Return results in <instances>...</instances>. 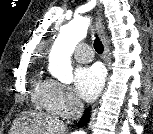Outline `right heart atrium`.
Wrapping results in <instances>:
<instances>
[{
  "mask_svg": "<svg viewBox=\"0 0 153 134\" xmlns=\"http://www.w3.org/2000/svg\"><path fill=\"white\" fill-rule=\"evenodd\" d=\"M79 101L65 84L49 80L46 108L56 115L67 117L78 110Z\"/></svg>",
  "mask_w": 153,
  "mask_h": 134,
  "instance_id": "1",
  "label": "right heart atrium"
}]
</instances>
